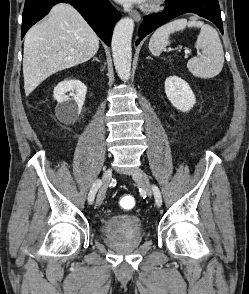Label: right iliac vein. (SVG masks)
I'll return each mask as SVG.
<instances>
[{
	"mask_svg": "<svg viewBox=\"0 0 249 294\" xmlns=\"http://www.w3.org/2000/svg\"><path fill=\"white\" fill-rule=\"evenodd\" d=\"M111 178H112V170L108 168L104 171L102 176V185L98 192L97 200H96L97 206H100L103 203Z\"/></svg>",
	"mask_w": 249,
	"mask_h": 294,
	"instance_id": "1",
	"label": "right iliac vein"
}]
</instances>
